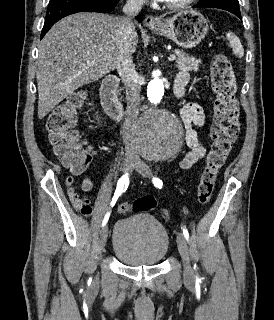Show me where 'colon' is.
Segmentation results:
<instances>
[{"label":"colon","instance_id":"colon-1","mask_svg":"<svg viewBox=\"0 0 274 320\" xmlns=\"http://www.w3.org/2000/svg\"><path fill=\"white\" fill-rule=\"evenodd\" d=\"M211 84L215 93V112L211 128V147L199 180L197 200L207 204L213 193L217 172L229 154L239 131V102L236 98V75L229 59L222 53L215 55L211 67ZM82 105L77 95L70 96L65 103L56 106L46 124L49 141L55 155L73 174L81 173L88 164L91 151L75 129L78 109ZM73 177L66 178L68 196H80L72 186ZM156 206L153 197H142L132 202L120 203L119 214L147 212ZM82 212V210H79ZM159 214L169 218V213L158 209Z\"/></svg>","mask_w":274,"mask_h":320}]
</instances>
